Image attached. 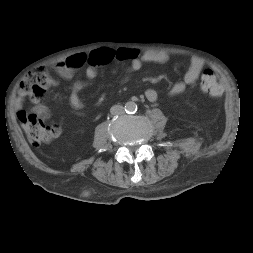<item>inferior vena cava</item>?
<instances>
[{"label": "inferior vena cava", "mask_w": 253, "mask_h": 253, "mask_svg": "<svg viewBox=\"0 0 253 253\" xmlns=\"http://www.w3.org/2000/svg\"><path fill=\"white\" fill-rule=\"evenodd\" d=\"M124 112H125L124 107L121 105H114L110 109V113L112 115H121V114H124Z\"/></svg>", "instance_id": "602c4592"}]
</instances>
